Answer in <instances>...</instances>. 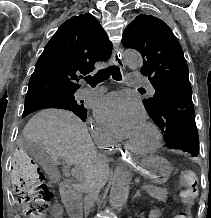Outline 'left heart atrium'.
Instances as JSON below:
<instances>
[{"instance_id": "1", "label": "left heart atrium", "mask_w": 211, "mask_h": 218, "mask_svg": "<svg viewBox=\"0 0 211 218\" xmlns=\"http://www.w3.org/2000/svg\"><path fill=\"white\" fill-rule=\"evenodd\" d=\"M95 118L116 139L130 138L145 125V111L132 95L115 92L96 102Z\"/></svg>"}]
</instances>
